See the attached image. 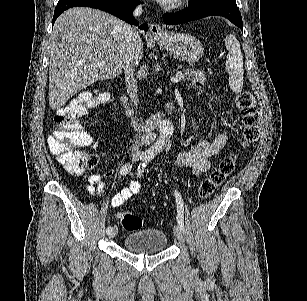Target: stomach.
Segmentation results:
<instances>
[{"label":"stomach","mask_w":307,"mask_h":301,"mask_svg":"<svg viewBox=\"0 0 307 301\" xmlns=\"http://www.w3.org/2000/svg\"><path fill=\"white\" fill-rule=\"evenodd\" d=\"M154 40H157L163 48L174 54L175 58H180L184 62H196L203 54L201 42L195 36L186 34V32H169L164 30L162 34H156Z\"/></svg>","instance_id":"0dacf381"}]
</instances>
